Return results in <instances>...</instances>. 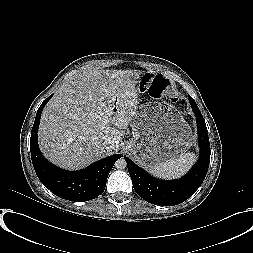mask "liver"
<instances>
[{
    "label": "liver",
    "mask_w": 253,
    "mask_h": 253,
    "mask_svg": "<svg viewBox=\"0 0 253 253\" xmlns=\"http://www.w3.org/2000/svg\"><path fill=\"white\" fill-rule=\"evenodd\" d=\"M138 70L85 69L59 87L45 106L38 132L43 155L82 169L117 151L138 105ZM113 144L104 148L102 143Z\"/></svg>",
    "instance_id": "6515ba94"
}]
</instances>
